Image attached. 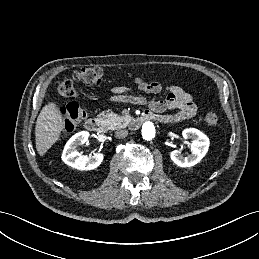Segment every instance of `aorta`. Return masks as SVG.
Segmentation results:
<instances>
[{"mask_svg": "<svg viewBox=\"0 0 259 259\" xmlns=\"http://www.w3.org/2000/svg\"><path fill=\"white\" fill-rule=\"evenodd\" d=\"M141 133L144 140H147V141L152 140L156 134L154 124L150 121L144 122L142 125Z\"/></svg>", "mask_w": 259, "mask_h": 259, "instance_id": "762f6f07", "label": "aorta"}]
</instances>
